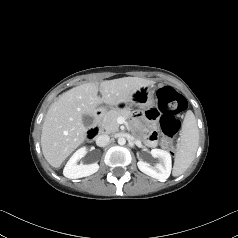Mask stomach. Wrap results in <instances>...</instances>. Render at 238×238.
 <instances>
[{"mask_svg": "<svg viewBox=\"0 0 238 238\" xmlns=\"http://www.w3.org/2000/svg\"><path fill=\"white\" fill-rule=\"evenodd\" d=\"M154 91L152 87L145 86L137 90L133 96L132 100H120L117 103V108L120 111H132L135 107L140 109H146L148 106L154 104ZM107 108H102L101 110L105 111Z\"/></svg>", "mask_w": 238, "mask_h": 238, "instance_id": "stomach-1", "label": "stomach"}]
</instances>
